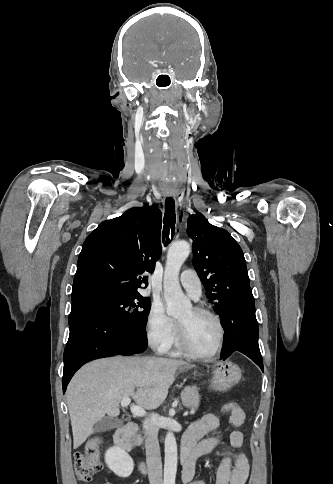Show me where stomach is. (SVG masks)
<instances>
[{
    "instance_id": "obj_1",
    "label": "stomach",
    "mask_w": 333,
    "mask_h": 484,
    "mask_svg": "<svg viewBox=\"0 0 333 484\" xmlns=\"http://www.w3.org/2000/svg\"><path fill=\"white\" fill-rule=\"evenodd\" d=\"M211 389L226 392L235 386L242 377L240 367L230 360L217 362L210 371Z\"/></svg>"
}]
</instances>
